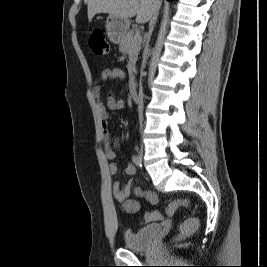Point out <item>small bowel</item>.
I'll use <instances>...</instances> for the list:
<instances>
[{
	"instance_id": "obj_1",
	"label": "small bowel",
	"mask_w": 267,
	"mask_h": 267,
	"mask_svg": "<svg viewBox=\"0 0 267 267\" xmlns=\"http://www.w3.org/2000/svg\"><path fill=\"white\" fill-rule=\"evenodd\" d=\"M124 73L119 68H106L101 73V79L103 81H109L116 78H123ZM93 98L97 106L101 125L103 129V145L105 157L110 161L109 172L111 175H115L118 172V165L115 162L117 157L115 151V139L112 137L108 129L109 112L108 110H122L125 107V101L122 97L116 96L114 93L109 91L106 96V103L103 102L101 95V87L97 86L93 89ZM127 175H134L136 168L132 164H128L125 169ZM131 182L120 184L114 182L112 186V192L114 198L122 204V208L126 213H137L139 212L141 205L135 199H130L129 195L131 192ZM137 196L144 198L149 204L156 205L158 203V196L152 191H144L137 187L134 189Z\"/></svg>"
}]
</instances>
